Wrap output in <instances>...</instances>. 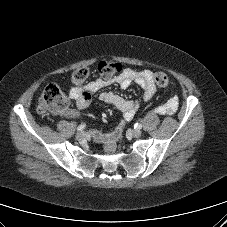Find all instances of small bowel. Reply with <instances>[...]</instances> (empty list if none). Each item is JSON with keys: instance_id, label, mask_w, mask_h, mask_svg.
<instances>
[{"instance_id": "small-bowel-1", "label": "small bowel", "mask_w": 227, "mask_h": 227, "mask_svg": "<svg viewBox=\"0 0 227 227\" xmlns=\"http://www.w3.org/2000/svg\"><path fill=\"white\" fill-rule=\"evenodd\" d=\"M153 75V72L149 70L139 71L127 68L113 78H97L88 82L83 88L72 87L69 90V96L75 101L77 110H68L65 113V116L71 119L78 118L80 115L79 111L86 109L90 105L92 93L98 92L112 84H117L122 89H126L134 83L143 91L141 100H128L113 92H101L99 96L103 102L111 104L120 110L126 121L132 120L141 103L150 101L156 93V85ZM178 104V97L173 96L163 104L156 107L155 112L161 115H171L176 111ZM121 131L122 125H119L110 133L94 131L92 135L97 142L103 144L106 151L111 152L116 148V143L120 139Z\"/></svg>"}]
</instances>
